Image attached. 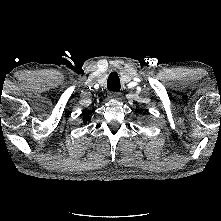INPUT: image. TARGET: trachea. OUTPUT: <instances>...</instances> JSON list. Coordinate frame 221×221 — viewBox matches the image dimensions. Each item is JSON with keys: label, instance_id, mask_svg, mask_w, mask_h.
I'll return each mask as SVG.
<instances>
[{"label": "trachea", "instance_id": "obj_1", "mask_svg": "<svg viewBox=\"0 0 221 221\" xmlns=\"http://www.w3.org/2000/svg\"><path fill=\"white\" fill-rule=\"evenodd\" d=\"M107 88L114 92L120 91V79L116 72L110 73L107 80Z\"/></svg>", "mask_w": 221, "mask_h": 221}]
</instances>
